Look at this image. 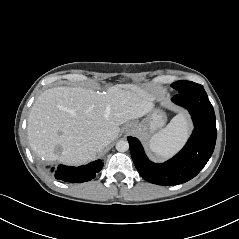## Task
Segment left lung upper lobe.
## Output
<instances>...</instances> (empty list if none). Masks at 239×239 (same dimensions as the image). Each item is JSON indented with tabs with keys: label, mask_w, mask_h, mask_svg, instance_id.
Returning a JSON list of instances; mask_svg holds the SVG:
<instances>
[{
	"label": "left lung upper lobe",
	"mask_w": 239,
	"mask_h": 239,
	"mask_svg": "<svg viewBox=\"0 0 239 239\" xmlns=\"http://www.w3.org/2000/svg\"><path fill=\"white\" fill-rule=\"evenodd\" d=\"M171 87L176 89L179 93H187L196 89L203 88L202 85H199L191 81H178L171 84Z\"/></svg>",
	"instance_id": "1"
}]
</instances>
